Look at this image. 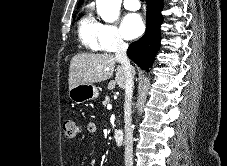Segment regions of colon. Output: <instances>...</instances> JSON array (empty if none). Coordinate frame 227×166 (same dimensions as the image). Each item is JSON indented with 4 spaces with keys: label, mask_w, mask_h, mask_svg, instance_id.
Returning <instances> with one entry per match:
<instances>
[{
    "label": "colon",
    "mask_w": 227,
    "mask_h": 166,
    "mask_svg": "<svg viewBox=\"0 0 227 166\" xmlns=\"http://www.w3.org/2000/svg\"><path fill=\"white\" fill-rule=\"evenodd\" d=\"M63 133L67 140H76L79 138V129L74 121L66 120L63 124Z\"/></svg>",
    "instance_id": "1"
}]
</instances>
